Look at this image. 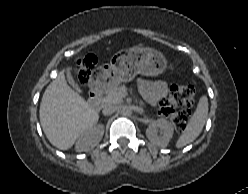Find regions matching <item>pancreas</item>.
Masks as SVG:
<instances>
[{"label": "pancreas", "mask_w": 248, "mask_h": 194, "mask_svg": "<svg viewBox=\"0 0 248 194\" xmlns=\"http://www.w3.org/2000/svg\"><path fill=\"white\" fill-rule=\"evenodd\" d=\"M126 90L125 86H115L110 89L104 97H102V105H111L119 104L122 102V99L125 95L124 91Z\"/></svg>", "instance_id": "1"}]
</instances>
